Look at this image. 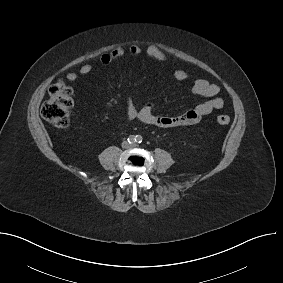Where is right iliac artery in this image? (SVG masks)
Here are the masks:
<instances>
[{
    "mask_svg": "<svg viewBox=\"0 0 283 283\" xmlns=\"http://www.w3.org/2000/svg\"><path fill=\"white\" fill-rule=\"evenodd\" d=\"M137 141V136H134V135H130L129 137H128V142L129 143H135Z\"/></svg>",
    "mask_w": 283,
    "mask_h": 283,
    "instance_id": "1",
    "label": "right iliac artery"
}]
</instances>
